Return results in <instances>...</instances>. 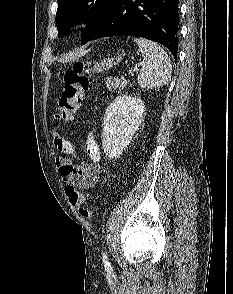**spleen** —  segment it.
<instances>
[{
	"instance_id": "1",
	"label": "spleen",
	"mask_w": 233,
	"mask_h": 294,
	"mask_svg": "<svg viewBox=\"0 0 233 294\" xmlns=\"http://www.w3.org/2000/svg\"><path fill=\"white\" fill-rule=\"evenodd\" d=\"M139 46L144 65L138 75V84L142 89H152L167 85L171 78L172 65L165 50L157 43L135 38Z\"/></svg>"
}]
</instances>
